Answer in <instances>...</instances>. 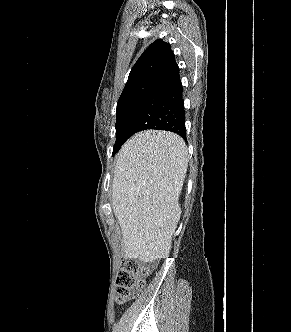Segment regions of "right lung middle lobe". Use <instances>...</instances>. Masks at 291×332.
I'll return each mask as SVG.
<instances>
[{"instance_id":"1","label":"right lung middle lobe","mask_w":291,"mask_h":332,"mask_svg":"<svg viewBox=\"0 0 291 332\" xmlns=\"http://www.w3.org/2000/svg\"><path fill=\"white\" fill-rule=\"evenodd\" d=\"M147 93L136 94L121 100L117 103V120H116V142L114 144L113 154H115L122 144L126 141L124 129L131 117L134 108L139 104Z\"/></svg>"}]
</instances>
